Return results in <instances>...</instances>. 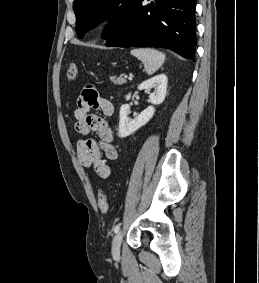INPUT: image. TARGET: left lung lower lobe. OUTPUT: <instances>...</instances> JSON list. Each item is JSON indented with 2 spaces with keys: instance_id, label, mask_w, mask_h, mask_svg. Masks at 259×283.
<instances>
[{
  "instance_id": "left-lung-lower-lobe-1",
  "label": "left lung lower lobe",
  "mask_w": 259,
  "mask_h": 283,
  "mask_svg": "<svg viewBox=\"0 0 259 283\" xmlns=\"http://www.w3.org/2000/svg\"><path fill=\"white\" fill-rule=\"evenodd\" d=\"M135 0L122 27L107 47L168 48L194 60L196 0Z\"/></svg>"
}]
</instances>
